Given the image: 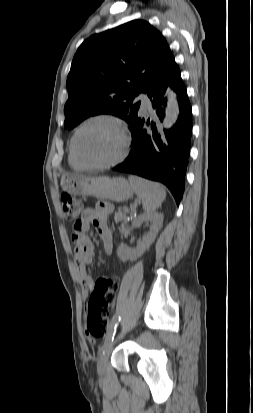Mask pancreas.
I'll return each instance as SVG.
<instances>
[{
    "mask_svg": "<svg viewBox=\"0 0 253 413\" xmlns=\"http://www.w3.org/2000/svg\"><path fill=\"white\" fill-rule=\"evenodd\" d=\"M129 212L127 207L119 208L115 213L114 220L115 222H120L126 219V214Z\"/></svg>",
    "mask_w": 253,
    "mask_h": 413,
    "instance_id": "1",
    "label": "pancreas"
}]
</instances>
